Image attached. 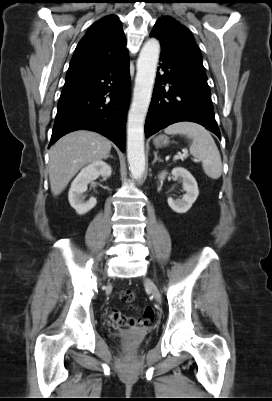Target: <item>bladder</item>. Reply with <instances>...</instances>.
I'll return each mask as SVG.
<instances>
[{
	"label": "bladder",
	"mask_w": 272,
	"mask_h": 401,
	"mask_svg": "<svg viewBox=\"0 0 272 401\" xmlns=\"http://www.w3.org/2000/svg\"><path fill=\"white\" fill-rule=\"evenodd\" d=\"M146 331H147L146 328H143L142 330H140V332H146Z\"/></svg>",
	"instance_id": "obj_1"
}]
</instances>
